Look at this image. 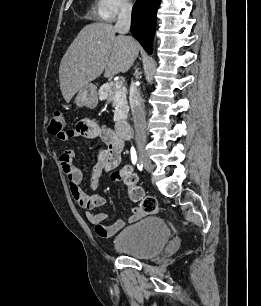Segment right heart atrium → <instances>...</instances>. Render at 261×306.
Listing matches in <instances>:
<instances>
[{"instance_id":"d8ad5b80","label":"right heart atrium","mask_w":261,"mask_h":306,"mask_svg":"<svg viewBox=\"0 0 261 306\" xmlns=\"http://www.w3.org/2000/svg\"><path fill=\"white\" fill-rule=\"evenodd\" d=\"M130 9V0H95V15L106 22L114 21L118 16L127 13Z\"/></svg>"}]
</instances>
